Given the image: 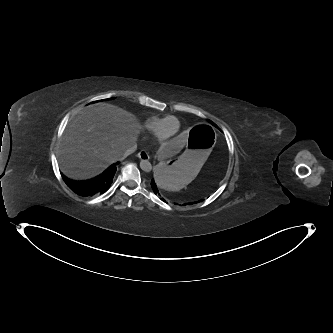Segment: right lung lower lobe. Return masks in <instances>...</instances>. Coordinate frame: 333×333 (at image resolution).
<instances>
[{"mask_svg":"<svg viewBox=\"0 0 333 333\" xmlns=\"http://www.w3.org/2000/svg\"><path fill=\"white\" fill-rule=\"evenodd\" d=\"M118 164V162H117ZM116 172V164H112L105 172H103L101 175L85 180V181H75L68 179L65 176L63 177V180L67 184V186L76 194L87 197V196H93L95 194H103L105 193L109 187L111 186V183L113 181V177Z\"/></svg>","mask_w":333,"mask_h":333,"instance_id":"1","label":"right lung lower lobe"}]
</instances>
